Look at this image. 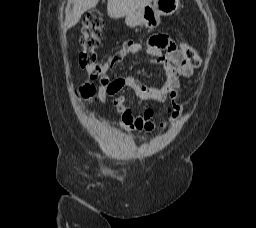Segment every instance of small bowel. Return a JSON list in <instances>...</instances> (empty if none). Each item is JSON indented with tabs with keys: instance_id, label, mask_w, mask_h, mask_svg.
I'll list each match as a JSON object with an SVG mask.
<instances>
[{
	"instance_id": "small-bowel-1",
	"label": "small bowel",
	"mask_w": 256,
	"mask_h": 228,
	"mask_svg": "<svg viewBox=\"0 0 256 228\" xmlns=\"http://www.w3.org/2000/svg\"><path fill=\"white\" fill-rule=\"evenodd\" d=\"M143 45L132 41H125L121 48L110 55L103 64V74L99 78L98 97L105 102L108 97L118 94L122 89H132L141 102L163 101L171 99V105L167 109L168 122L161 123L160 127L167 126L182 114L183 107L178 102L181 91V79L192 75V67L181 55L179 46L171 38L163 33L151 36L147 42L146 53L152 61L161 66L166 80L160 87H151L142 83L134 76H123L111 79L107 71L122 61L126 56L141 52ZM120 115L118 126L126 131H151L156 127L153 121V111L147 109L142 115L136 116L125 104V98L119 97L115 101Z\"/></svg>"
}]
</instances>
